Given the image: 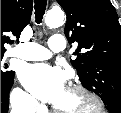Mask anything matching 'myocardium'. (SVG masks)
<instances>
[{
	"instance_id": "f54148a6",
	"label": "myocardium",
	"mask_w": 121,
	"mask_h": 113,
	"mask_svg": "<svg viewBox=\"0 0 121 113\" xmlns=\"http://www.w3.org/2000/svg\"><path fill=\"white\" fill-rule=\"evenodd\" d=\"M68 89L73 92L81 94L82 97L86 98L89 102H91V104L93 105V109L90 110L91 112L87 113H99L104 110V104L102 100L85 86L80 84H70L68 86ZM53 109L57 113H72V111H61L57 109L55 106L53 107Z\"/></svg>"
}]
</instances>
